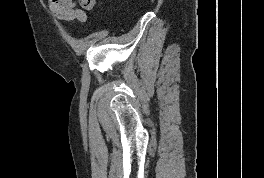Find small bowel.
<instances>
[{
  "label": "small bowel",
  "mask_w": 264,
  "mask_h": 178,
  "mask_svg": "<svg viewBox=\"0 0 264 178\" xmlns=\"http://www.w3.org/2000/svg\"><path fill=\"white\" fill-rule=\"evenodd\" d=\"M95 2V1H94ZM94 2L90 6L84 7L81 0H48L52 13L60 20L72 23H84L87 20L85 10L93 7ZM79 5L81 8H78Z\"/></svg>",
  "instance_id": "small-bowel-1"
}]
</instances>
